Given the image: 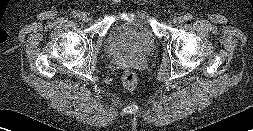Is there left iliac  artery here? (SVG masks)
Returning a JSON list of instances; mask_svg holds the SVG:
<instances>
[{"instance_id": "1", "label": "left iliac artery", "mask_w": 253, "mask_h": 131, "mask_svg": "<svg viewBox=\"0 0 253 131\" xmlns=\"http://www.w3.org/2000/svg\"><path fill=\"white\" fill-rule=\"evenodd\" d=\"M193 16L189 13L185 14L184 17H183V20L184 21H190L192 20Z\"/></svg>"}]
</instances>
